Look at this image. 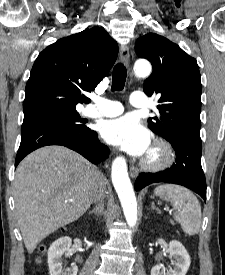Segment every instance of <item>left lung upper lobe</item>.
I'll return each mask as SVG.
<instances>
[{
    "label": "left lung upper lobe",
    "mask_w": 225,
    "mask_h": 275,
    "mask_svg": "<svg viewBox=\"0 0 225 275\" xmlns=\"http://www.w3.org/2000/svg\"><path fill=\"white\" fill-rule=\"evenodd\" d=\"M136 54L153 65L144 92L160 97V116L149 118L148 127L169 142L200 139L201 80L197 61L155 33L137 40Z\"/></svg>",
    "instance_id": "1"
}]
</instances>
